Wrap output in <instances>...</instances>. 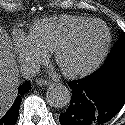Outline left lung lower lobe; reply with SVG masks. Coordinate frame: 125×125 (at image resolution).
<instances>
[{
    "mask_svg": "<svg viewBox=\"0 0 125 125\" xmlns=\"http://www.w3.org/2000/svg\"><path fill=\"white\" fill-rule=\"evenodd\" d=\"M69 87L71 101L59 116L61 125H104L125 104V62L104 64Z\"/></svg>",
    "mask_w": 125,
    "mask_h": 125,
    "instance_id": "left-lung-lower-lobe-1",
    "label": "left lung lower lobe"
}]
</instances>
